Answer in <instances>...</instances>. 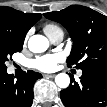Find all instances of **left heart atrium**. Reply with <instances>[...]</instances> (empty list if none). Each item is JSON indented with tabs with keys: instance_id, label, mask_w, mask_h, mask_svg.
Segmentation results:
<instances>
[{
	"instance_id": "left-heart-atrium-1",
	"label": "left heart atrium",
	"mask_w": 107,
	"mask_h": 107,
	"mask_svg": "<svg viewBox=\"0 0 107 107\" xmlns=\"http://www.w3.org/2000/svg\"><path fill=\"white\" fill-rule=\"evenodd\" d=\"M63 59L64 56L62 53H52L36 58L32 65L42 72H52Z\"/></svg>"
}]
</instances>
